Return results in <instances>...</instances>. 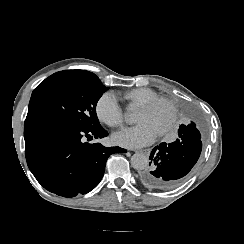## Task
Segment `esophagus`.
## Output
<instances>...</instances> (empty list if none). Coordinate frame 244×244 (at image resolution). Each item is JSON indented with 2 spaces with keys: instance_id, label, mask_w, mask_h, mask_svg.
Returning <instances> with one entry per match:
<instances>
[{
  "instance_id": "1",
  "label": "esophagus",
  "mask_w": 244,
  "mask_h": 244,
  "mask_svg": "<svg viewBox=\"0 0 244 244\" xmlns=\"http://www.w3.org/2000/svg\"><path fill=\"white\" fill-rule=\"evenodd\" d=\"M151 149L147 148V149H140V150H135V153H142L145 154L146 156H148L150 154Z\"/></svg>"
}]
</instances>
